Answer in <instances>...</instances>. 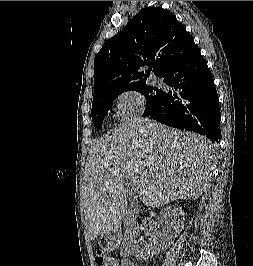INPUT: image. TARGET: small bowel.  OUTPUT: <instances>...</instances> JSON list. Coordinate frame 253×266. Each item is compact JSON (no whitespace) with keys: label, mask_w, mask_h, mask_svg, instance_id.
<instances>
[{"label":"small bowel","mask_w":253,"mask_h":266,"mask_svg":"<svg viewBox=\"0 0 253 266\" xmlns=\"http://www.w3.org/2000/svg\"><path fill=\"white\" fill-rule=\"evenodd\" d=\"M117 266H137L134 261L123 260L120 263L117 261Z\"/></svg>","instance_id":"c3829d8e"}]
</instances>
